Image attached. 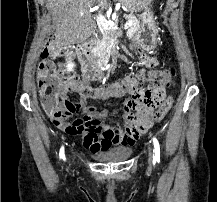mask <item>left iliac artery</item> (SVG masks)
Masks as SVG:
<instances>
[{
    "label": "left iliac artery",
    "instance_id": "obj_1",
    "mask_svg": "<svg viewBox=\"0 0 217 202\" xmlns=\"http://www.w3.org/2000/svg\"><path fill=\"white\" fill-rule=\"evenodd\" d=\"M153 144H154V150L153 152L155 153L153 155V160H154V163L155 162H160V145H159V142L158 140L154 137L153 138Z\"/></svg>",
    "mask_w": 217,
    "mask_h": 202
}]
</instances>
